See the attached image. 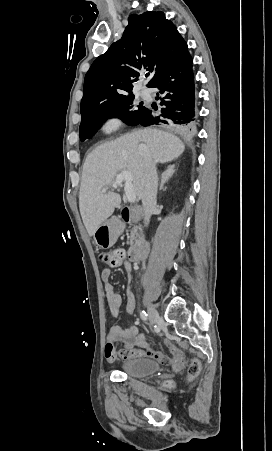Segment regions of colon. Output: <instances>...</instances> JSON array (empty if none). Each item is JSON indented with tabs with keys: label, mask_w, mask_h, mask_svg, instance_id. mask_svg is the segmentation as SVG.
<instances>
[{
	"label": "colon",
	"mask_w": 272,
	"mask_h": 451,
	"mask_svg": "<svg viewBox=\"0 0 272 451\" xmlns=\"http://www.w3.org/2000/svg\"><path fill=\"white\" fill-rule=\"evenodd\" d=\"M97 262H106L110 265L111 268H120L121 262L124 259V250L123 249H115L110 252L105 253H97L95 256ZM160 362L164 364V367H177L183 368L185 366V362L182 359V356L178 354L175 358H170L166 354L160 355ZM194 365L192 368L188 366V372L191 376L197 374L200 371L198 367L201 364V361L198 358H195L192 361Z\"/></svg>",
	"instance_id": "colon-1"
}]
</instances>
